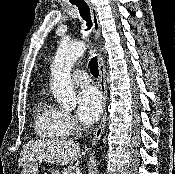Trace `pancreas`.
Returning <instances> with one entry per match:
<instances>
[{"mask_svg":"<svg viewBox=\"0 0 175 174\" xmlns=\"http://www.w3.org/2000/svg\"><path fill=\"white\" fill-rule=\"evenodd\" d=\"M73 170H74V168H73L72 166L66 167V168L63 169L62 174H75V173L73 172ZM55 171H56V170H53V171H52V174H55V173H54Z\"/></svg>","mask_w":175,"mask_h":174,"instance_id":"1","label":"pancreas"}]
</instances>
